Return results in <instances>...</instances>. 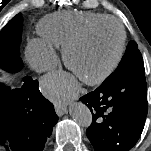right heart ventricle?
I'll return each instance as SVG.
<instances>
[{
  "label": "right heart ventricle",
  "instance_id": "e07e8e85",
  "mask_svg": "<svg viewBox=\"0 0 151 151\" xmlns=\"http://www.w3.org/2000/svg\"><path fill=\"white\" fill-rule=\"evenodd\" d=\"M108 15L96 12L66 11L45 16L37 26L42 40L52 47L63 48L92 22Z\"/></svg>",
  "mask_w": 151,
  "mask_h": 151
}]
</instances>
